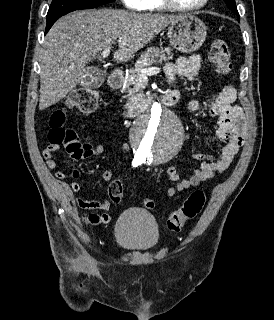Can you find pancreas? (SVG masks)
I'll return each mask as SVG.
<instances>
[{
    "label": "pancreas",
    "mask_w": 274,
    "mask_h": 320,
    "mask_svg": "<svg viewBox=\"0 0 274 320\" xmlns=\"http://www.w3.org/2000/svg\"><path fill=\"white\" fill-rule=\"evenodd\" d=\"M172 52L173 50H171V48H147L146 52H143L142 56H140L139 60H137L135 68H132V70L129 72V76H127L126 88L129 94H136V92L139 90L138 84H140V76H138L137 70L151 68V66L155 64V60H163V62L172 60ZM134 98H136V96H131L125 108H128V110H134V108H136Z\"/></svg>",
    "instance_id": "obj_1"
}]
</instances>
